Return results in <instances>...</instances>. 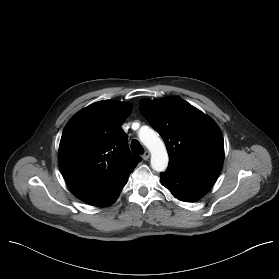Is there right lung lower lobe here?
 <instances>
[{
	"label": "right lung lower lobe",
	"mask_w": 279,
	"mask_h": 279,
	"mask_svg": "<svg viewBox=\"0 0 279 279\" xmlns=\"http://www.w3.org/2000/svg\"><path fill=\"white\" fill-rule=\"evenodd\" d=\"M124 185L120 186L119 188L115 189L114 191H112L104 196H101V197L94 199L87 203L90 205L100 206V207L111 205L112 203H114L116 201V199L119 196V193L122 190V188L124 187Z\"/></svg>",
	"instance_id": "obj_1"
}]
</instances>
